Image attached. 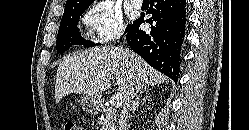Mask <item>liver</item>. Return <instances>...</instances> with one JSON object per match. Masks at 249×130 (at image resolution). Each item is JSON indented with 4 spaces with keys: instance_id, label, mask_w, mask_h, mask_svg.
I'll return each mask as SVG.
<instances>
[{
    "instance_id": "6515ba94",
    "label": "liver",
    "mask_w": 249,
    "mask_h": 130,
    "mask_svg": "<svg viewBox=\"0 0 249 130\" xmlns=\"http://www.w3.org/2000/svg\"><path fill=\"white\" fill-rule=\"evenodd\" d=\"M114 78L117 80L121 103L132 86L141 91L167 81L164 75L130 50L97 47L67 56L59 64L55 86L56 103L71 93L96 96L108 90Z\"/></svg>"
}]
</instances>
